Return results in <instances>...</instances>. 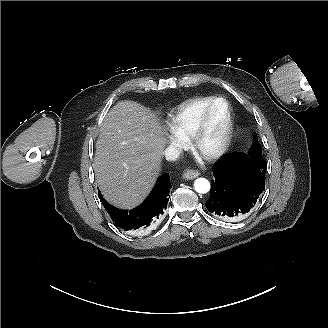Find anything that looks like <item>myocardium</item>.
Instances as JSON below:
<instances>
[{
  "label": "myocardium",
  "instance_id": "myocardium-1",
  "mask_svg": "<svg viewBox=\"0 0 328 328\" xmlns=\"http://www.w3.org/2000/svg\"><path fill=\"white\" fill-rule=\"evenodd\" d=\"M215 98L213 101L203 107L195 116L187 135V144L191 148L195 154H197L200 158L207 160V161H216L224 157L228 154L234 136V129H235V117L234 111L231 103L223 98L214 96ZM223 104L226 107L227 111V122L224 128L222 138L215 149L211 151H206L202 147L201 142V133H202V126L205 118L207 115L213 111L217 105Z\"/></svg>",
  "mask_w": 328,
  "mask_h": 328
}]
</instances>
